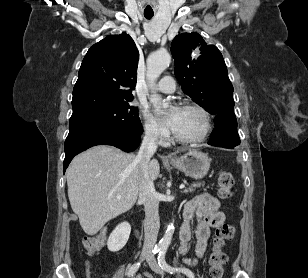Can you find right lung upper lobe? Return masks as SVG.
Returning <instances> with one entry per match:
<instances>
[{"mask_svg": "<svg viewBox=\"0 0 308 278\" xmlns=\"http://www.w3.org/2000/svg\"><path fill=\"white\" fill-rule=\"evenodd\" d=\"M139 52L126 33L94 44L84 57L73 89V115L133 99Z\"/></svg>", "mask_w": 308, "mask_h": 278, "instance_id": "1", "label": "right lung upper lobe"}]
</instances>
